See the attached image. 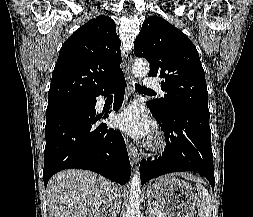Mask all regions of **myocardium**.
<instances>
[{
  "mask_svg": "<svg viewBox=\"0 0 253 217\" xmlns=\"http://www.w3.org/2000/svg\"><path fill=\"white\" fill-rule=\"evenodd\" d=\"M164 141L160 135H157L153 138L152 142L150 143V148L153 151H157L163 148Z\"/></svg>",
  "mask_w": 253,
  "mask_h": 217,
  "instance_id": "f54148a6",
  "label": "myocardium"
}]
</instances>
